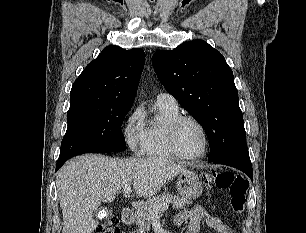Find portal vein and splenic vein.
Returning a JSON list of instances; mask_svg holds the SVG:
<instances>
[{"instance_id":"obj_1","label":"portal vein and splenic vein","mask_w":306,"mask_h":233,"mask_svg":"<svg viewBox=\"0 0 306 233\" xmlns=\"http://www.w3.org/2000/svg\"><path fill=\"white\" fill-rule=\"evenodd\" d=\"M123 190H124V194H129L131 192V185L124 186ZM168 208H169V205L164 204V205L150 208L149 212L152 216H157L159 212L167 210Z\"/></svg>"}]
</instances>
